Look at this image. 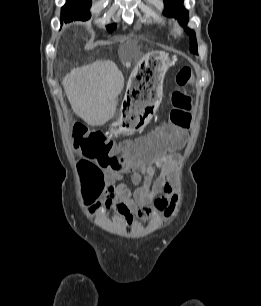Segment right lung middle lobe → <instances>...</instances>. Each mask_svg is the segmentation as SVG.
I'll return each mask as SVG.
<instances>
[{"mask_svg": "<svg viewBox=\"0 0 261 306\" xmlns=\"http://www.w3.org/2000/svg\"><path fill=\"white\" fill-rule=\"evenodd\" d=\"M91 4V0H75L73 2H68L62 7L61 16L65 22L73 20L86 21L91 17L89 12ZM116 27V24H112L107 27V30L112 32Z\"/></svg>", "mask_w": 261, "mask_h": 306, "instance_id": "1", "label": "right lung middle lobe"}]
</instances>
